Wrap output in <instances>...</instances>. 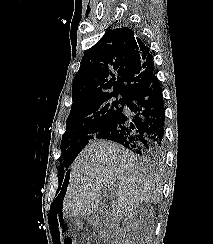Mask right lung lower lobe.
I'll return each mask as SVG.
<instances>
[{"label": "right lung lower lobe", "instance_id": "right-lung-lower-lobe-1", "mask_svg": "<svg viewBox=\"0 0 213 244\" xmlns=\"http://www.w3.org/2000/svg\"><path fill=\"white\" fill-rule=\"evenodd\" d=\"M126 106L131 114L123 111L108 129L95 138L117 142L144 158L160 161L164 152L165 109L155 73L128 98ZM67 181L66 176L62 186L64 190Z\"/></svg>", "mask_w": 213, "mask_h": 244}]
</instances>
